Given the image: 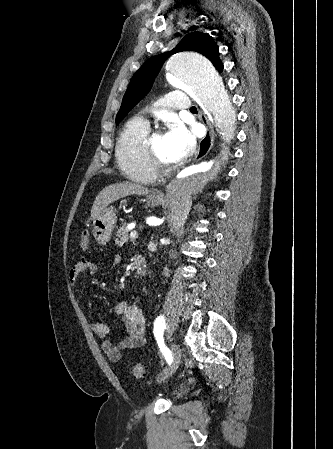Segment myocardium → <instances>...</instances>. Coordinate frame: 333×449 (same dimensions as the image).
<instances>
[{"mask_svg": "<svg viewBox=\"0 0 333 449\" xmlns=\"http://www.w3.org/2000/svg\"><path fill=\"white\" fill-rule=\"evenodd\" d=\"M160 134H161L160 130H155L153 132L149 131L148 135L144 141L145 154L147 156V159H148L151 167L153 168V170L155 171V173L157 175L167 173L173 168V165L168 164L165 161H163L157 155V153L155 152V150L153 148L152 140L155 136L160 135Z\"/></svg>", "mask_w": 333, "mask_h": 449, "instance_id": "myocardium-1", "label": "myocardium"}]
</instances>
